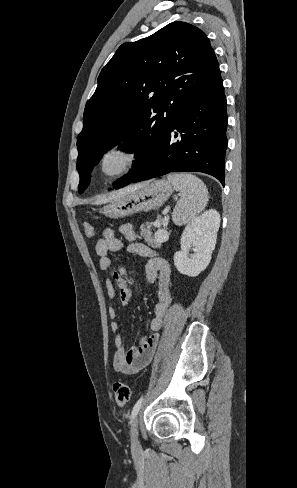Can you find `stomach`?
Returning a JSON list of instances; mask_svg holds the SVG:
<instances>
[{
    "instance_id": "0dacf381",
    "label": "stomach",
    "mask_w": 297,
    "mask_h": 488,
    "mask_svg": "<svg viewBox=\"0 0 297 488\" xmlns=\"http://www.w3.org/2000/svg\"><path fill=\"white\" fill-rule=\"evenodd\" d=\"M173 185L168 180H157L134 192L104 205L100 212L111 219L125 218L135 213L157 209L171 195Z\"/></svg>"
}]
</instances>
